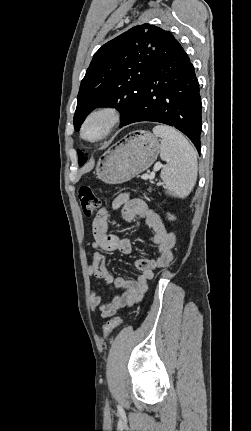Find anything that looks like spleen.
Masks as SVG:
<instances>
[{"mask_svg":"<svg viewBox=\"0 0 251 431\" xmlns=\"http://www.w3.org/2000/svg\"><path fill=\"white\" fill-rule=\"evenodd\" d=\"M153 133L161 138L160 157L166 161L161 179L167 193L179 198L187 197L197 179V154L187 139L176 129L157 125Z\"/></svg>","mask_w":251,"mask_h":431,"instance_id":"spleen-1","label":"spleen"}]
</instances>
